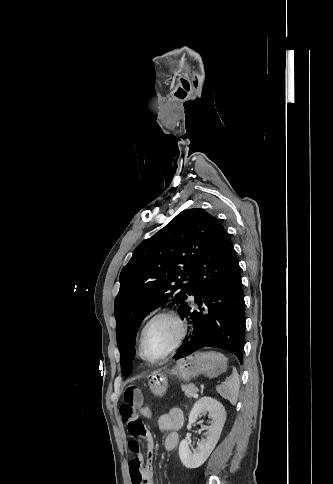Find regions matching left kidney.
<instances>
[{
	"label": "left kidney",
	"mask_w": 333,
	"mask_h": 484,
	"mask_svg": "<svg viewBox=\"0 0 333 484\" xmlns=\"http://www.w3.org/2000/svg\"><path fill=\"white\" fill-rule=\"evenodd\" d=\"M205 412L209 413L208 417L211 419L210 425L203 427L206 430V438L198 442V447L194 452L190 450V443L187 439H183L179 445V456L186 468L200 467L214 450L220 438L226 420V411L219 401L211 397H202L194 404L189 414L187 428L190 429L197 418Z\"/></svg>",
	"instance_id": "obj_1"
}]
</instances>
